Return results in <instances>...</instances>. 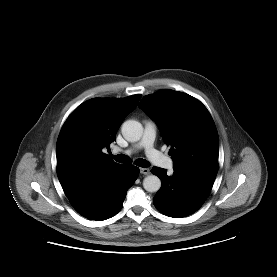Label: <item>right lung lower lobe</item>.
<instances>
[{
	"label": "right lung lower lobe",
	"instance_id": "98d812e1",
	"mask_svg": "<svg viewBox=\"0 0 277 277\" xmlns=\"http://www.w3.org/2000/svg\"><path fill=\"white\" fill-rule=\"evenodd\" d=\"M138 175V167L118 164L65 194L82 216L106 220L119 212Z\"/></svg>",
	"mask_w": 277,
	"mask_h": 277
}]
</instances>
